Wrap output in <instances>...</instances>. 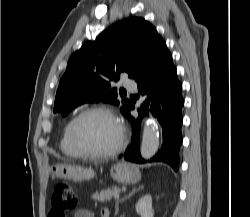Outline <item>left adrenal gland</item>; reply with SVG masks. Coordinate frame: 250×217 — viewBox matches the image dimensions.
<instances>
[{
	"label": "left adrenal gland",
	"mask_w": 250,
	"mask_h": 217,
	"mask_svg": "<svg viewBox=\"0 0 250 217\" xmlns=\"http://www.w3.org/2000/svg\"><path fill=\"white\" fill-rule=\"evenodd\" d=\"M143 189V185L142 186H139L138 188H133L132 191L127 195L125 196L123 199L121 200H117L116 202V205H115V215L118 214V211H119V203L124 201V200H127L128 198H130L133 194H135L137 191Z\"/></svg>",
	"instance_id": "left-adrenal-gland-1"
}]
</instances>
